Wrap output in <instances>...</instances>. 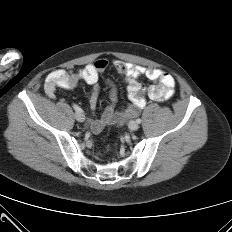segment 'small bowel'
I'll list each match as a JSON object with an SVG mask.
<instances>
[{
    "label": "small bowel",
    "mask_w": 232,
    "mask_h": 232,
    "mask_svg": "<svg viewBox=\"0 0 232 232\" xmlns=\"http://www.w3.org/2000/svg\"><path fill=\"white\" fill-rule=\"evenodd\" d=\"M109 68L115 70L123 79L130 105L122 111H116L115 106L118 101V90L114 83L108 81L110 88V105L105 108L99 118L90 120V128L94 133H99L102 129L111 124H117L118 115L127 113L128 109L134 110L136 116L141 108L146 104V98L154 101L163 102L173 97L175 93V79L166 71L132 64L120 60L101 58L88 64L78 71H66L62 69L50 72L44 82V90L50 98H55L57 88L74 89L80 82H85L92 86L89 97V106L94 111L99 98V80L102 74ZM145 77L155 84L143 89L138 79Z\"/></svg>",
    "instance_id": "small-bowel-1"
}]
</instances>
